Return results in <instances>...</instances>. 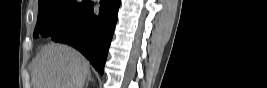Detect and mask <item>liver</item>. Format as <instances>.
Instances as JSON below:
<instances>
[{
  "label": "liver",
  "mask_w": 267,
  "mask_h": 88,
  "mask_svg": "<svg viewBox=\"0 0 267 88\" xmlns=\"http://www.w3.org/2000/svg\"><path fill=\"white\" fill-rule=\"evenodd\" d=\"M89 73V63L78 51L67 45L50 43L36 57L33 88H83Z\"/></svg>",
  "instance_id": "obj_1"
}]
</instances>
